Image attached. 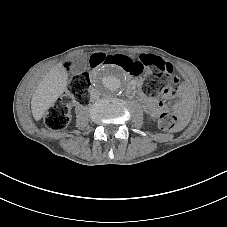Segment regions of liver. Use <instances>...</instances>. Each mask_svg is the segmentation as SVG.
Returning <instances> with one entry per match:
<instances>
[{
  "label": "liver",
  "instance_id": "1",
  "mask_svg": "<svg viewBox=\"0 0 227 227\" xmlns=\"http://www.w3.org/2000/svg\"><path fill=\"white\" fill-rule=\"evenodd\" d=\"M67 75L64 69L57 65L42 79L31 100V110L35 120H40L46 110L52 106L66 87Z\"/></svg>",
  "mask_w": 227,
  "mask_h": 227
}]
</instances>
